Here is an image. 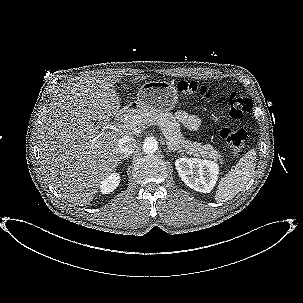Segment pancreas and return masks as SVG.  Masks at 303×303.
<instances>
[{
  "mask_svg": "<svg viewBox=\"0 0 303 303\" xmlns=\"http://www.w3.org/2000/svg\"><path fill=\"white\" fill-rule=\"evenodd\" d=\"M126 123L132 125V129L140 128L144 124L157 123L167 130L174 144L183 148L188 154H193L196 157L200 155L208 156L214 160H221V155L211 145H202L201 143L186 140L181 133L180 124L170 112L138 111L131 114Z\"/></svg>",
  "mask_w": 303,
  "mask_h": 303,
  "instance_id": "cf45deb5",
  "label": "pancreas"
}]
</instances>
